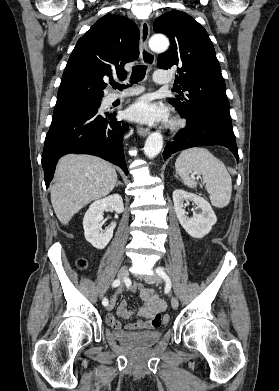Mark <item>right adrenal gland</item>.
I'll list each match as a JSON object with an SVG mask.
<instances>
[{"label":"right adrenal gland","instance_id":"1","mask_svg":"<svg viewBox=\"0 0 279 391\" xmlns=\"http://www.w3.org/2000/svg\"><path fill=\"white\" fill-rule=\"evenodd\" d=\"M119 185H123V183L118 180L116 186H119Z\"/></svg>","mask_w":279,"mask_h":391}]
</instances>
